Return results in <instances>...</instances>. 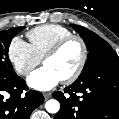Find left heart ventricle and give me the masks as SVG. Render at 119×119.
<instances>
[{"mask_svg": "<svg viewBox=\"0 0 119 119\" xmlns=\"http://www.w3.org/2000/svg\"><path fill=\"white\" fill-rule=\"evenodd\" d=\"M82 49L77 41L70 42L54 57L48 58L44 66L52 68L61 79L69 76L79 65Z\"/></svg>", "mask_w": 119, "mask_h": 119, "instance_id": "obj_1", "label": "left heart ventricle"}]
</instances>
